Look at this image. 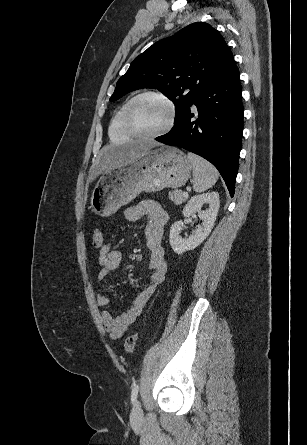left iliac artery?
Listing matches in <instances>:
<instances>
[{
    "mask_svg": "<svg viewBox=\"0 0 307 445\" xmlns=\"http://www.w3.org/2000/svg\"><path fill=\"white\" fill-rule=\"evenodd\" d=\"M138 390H139V386L138 384H135L132 388V392H131V401L132 403H134L137 399V395H138Z\"/></svg>",
    "mask_w": 307,
    "mask_h": 445,
    "instance_id": "left-iliac-artery-1",
    "label": "left iliac artery"
}]
</instances>
